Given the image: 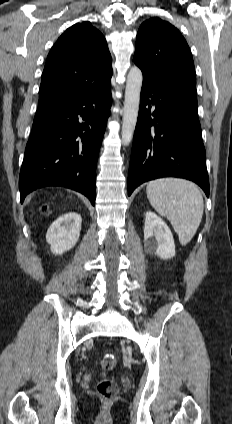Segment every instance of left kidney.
Listing matches in <instances>:
<instances>
[{
    "instance_id": "1",
    "label": "left kidney",
    "mask_w": 232,
    "mask_h": 424,
    "mask_svg": "<svg viewBox=\"0 0 232 424\" xmlns=\"http://www.w3.org/2000/svg\"><path fill=\"white\" fill-rule=\"evenodd\" d=\"M144 242L145 249L161 259L175 256L174 239L169 227L152 211L145 214Z\"/></svg>"
}]
</instances>
